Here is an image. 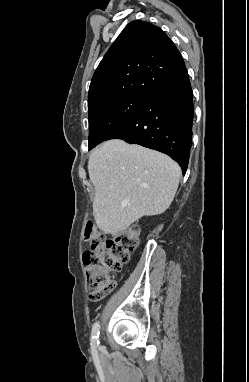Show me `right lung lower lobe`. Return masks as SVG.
<instances>
[{"label":"right lung lower lobe","mask_w":249,"mask_h":382,"mask_svg":"<svg viewBox=\"0 0 249 382\" xmlns=\"http://www.w3.org/2000/svg\"><path fill=\"white\" fill-rule=\"evenodd\" d=\"M193 117V95L185 68L151 93L140 111L107 140L122 139L165 153L179 163L185 174Z\"/></svg>","instance_id":"98d812e1"}]
</instances>
